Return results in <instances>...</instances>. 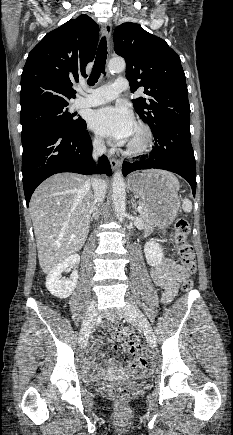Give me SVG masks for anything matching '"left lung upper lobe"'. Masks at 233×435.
<instances>
[{"mask_svg": "<svg viewBox=\"0 0 233 435\" xmlns=\"http://www.w3.org/2000/svg\"><path fill=\"white\" fill-rule=\"evenodd\" d=\"M114 50L126 61L131 91L144 87L147 97L134 99L133 106L152 132L189 124L188 90L180 57L163 39L139 24L126 22L115 29Z\"/></svg>", "mask_w": 233, "mask_h": 435, "instance_id": "5c2ea615", "label": "left lung upper lobe"}]
</instances>
